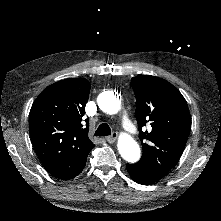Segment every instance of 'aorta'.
<instances>
[{
	"instance_id": "762f6f07",
	"label": "aorta",
	"mask_w": 221,
	"mask_h": 221,
	"mask_svg": "<svg viewBox=\"0 0 221 221\" xmlns=\"http://www.w3.org/2000/svg\"><path fill=\"white\" fill-rule=\"evenodd\" d=\"M100 109L110 115L116 114L121 107L120 100L112 92H106L99 98ZM118 151L121 157L129 163L139 161L141 150L138 143L129 135L122 134L118 139Z\"/></svg>"
}]
</instances>
